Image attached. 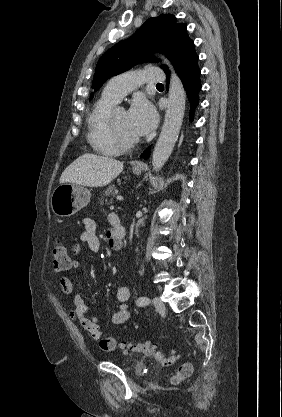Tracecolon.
<instances>
[{
  "mask_svg": "<svg viewBox=\"0 0 282 417\" xmlns=\"http://www.w3.org/2000/svg\"><path fill=\"white\" fill-rule=\"evenodd\" d=\"M52 261L54 268L57 271H68L72 267V260L69 257L65 244L61 241L54 242L52 246ZM129 351L142 354L149 357L161 366L167 368L172 366L176 362L175 348H170V354H164L157 350L149 342H135L127 346ZM102 352L103 353H114L115 352V341L114 339H103L102 341ZM193 366L191 362H186L180 365V369L173 376L174 381H180L192 373Z\"/></svg>",
  "mask_w": 282,
  "mask_h": 417,
  "instance_id": "1",
  "label": "colon"
}]
</instances>
